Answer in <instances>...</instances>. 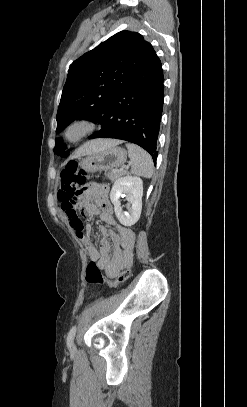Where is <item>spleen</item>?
I'll return each instance as SVG.
<instances>
[{
  "label": "spleen",
  "instance_id": "obj_1",
  "mask_svg": "<svg viewBox=\"0 0 247 407\" xmlns=\"http://www.w3.org/2000/svg\"><path fill=\"white\" fill-rule=\"evenodd\" d=\"M130 158L131 173L144 178H151L154 165L151 156L141 147L132 143H126Z\"/></svg>",
  "mask_w": 247,
  "mask_h": 407
}]
</instances>
